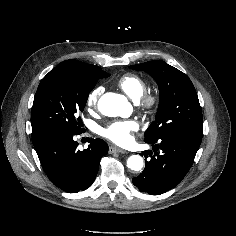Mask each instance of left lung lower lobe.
<instances>
[{
    "mask_svg": "<svg viewBox=\"0 0 236 236\" xmlns=\"http://www.w3.org/2000/svg\"><path fill=\"white\" fill-rule=\"evenodd\" d=\"M202 138L185 134H169L145 140L156 150L144 151L146 162L143 172L132 179L141 192L160 195L178 185L191 168Z\"/></svg>",
    "mask_w": 236,
    "mask_h": 236,
    "instance_id": "obj_1",
    "label": "left lung lower lobe"
}]
</instances>
